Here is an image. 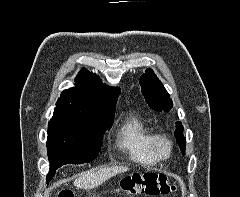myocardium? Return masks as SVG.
Wrapping results in <instances>:
<instances>
[{
  "instance_id": "obj_1",
  "label": "myocardium",
  "mask_w": 240,
  "mask_h": 197,
  "mask_svg": "<svg viewBox=\"0 0 240 197\" xmlns=\"http://www.w3.org/2000/svg\"><path fill=\"white\" fill-rule=\"evenodd\" d=\"M150 146L154 156L159 161L168 160L172 155V141L165 134L152 135Z\"/></svg>"
}]
</instances>
